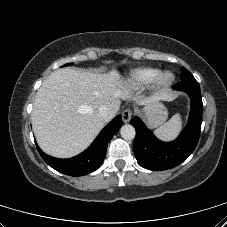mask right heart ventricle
<instances>
[{
	"label": "right heart ventricle",
	"mask_w": 227,
	"mask_h": 227,
	"mask_svg": "<svg viewBox=\"0 0 227 227\" xmlns=\"http://www.w3.org/2000/svg\"><path fill=\"white\" fill-rule=\"evenodd\" d=\"M159 73L160 70L156 68H136L129 73L127 82L135 87L143 86L154 81Z\"/></svg>",
	"instance_id": "right-heart-ventricle-1"
}]
</instances>
